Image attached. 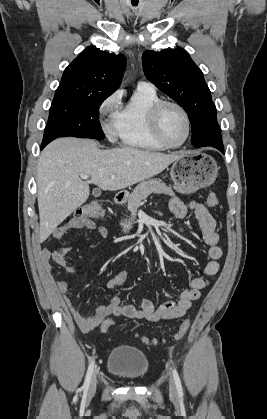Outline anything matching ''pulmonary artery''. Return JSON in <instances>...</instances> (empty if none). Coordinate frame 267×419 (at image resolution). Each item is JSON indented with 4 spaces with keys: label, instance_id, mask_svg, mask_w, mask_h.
<instances>
[{
    "label": "pulmonary artery",
    "instance_id": "1",
    "mask_svg": "<svg viewBox=\"0 0 267 419\" xmlns=\"http://www.w3.org/2000/svg\"><path fill=\"white\" fill-rule=\"evenodd\" d=\"M138 88H154V86L149 82L140 81L138 83Z\"/></svg>",
    "mask_w": 267,
    "mask_h": 419
}]
</instances>
